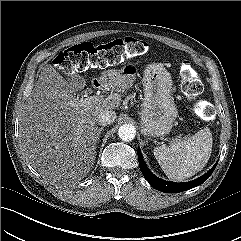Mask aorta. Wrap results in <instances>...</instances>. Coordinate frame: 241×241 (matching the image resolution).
<instances>
[{"mask_svg":"<svg viewBox=\"0 0 241 241\" xmlns=\"http://www.w3.org/2000/svg\"><path fill=\"white\" fill-rule=\"evenodd\" d=\"M136 129L132 124H123L119 127L118 136L123 141L129 142L135 138Z\"/></svg>","mask_w":241,"mask_h":241,"instance_id":"obj_1","label":"aorta"}]
</instances>
